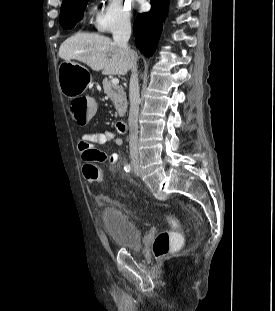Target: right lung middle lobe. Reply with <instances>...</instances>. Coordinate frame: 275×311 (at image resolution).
<instances>
[{"label": "right lung middle lobe", "instance_id": "right-lung-middle-lobe-1", "mask_svg": "<svg viewBox=\"0 0 275 311\" xmlns=\"http://www.w3.org/2000/svg\"><path fill=\"white\" fill-rule=\"evenodd\" d=\"M88 0H65L60 9V24L64 29H71L83 17Z\"/></svg>", "mask_w": 275, "mask_h": 311}]
</instances>
